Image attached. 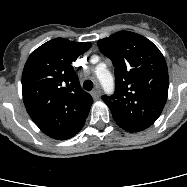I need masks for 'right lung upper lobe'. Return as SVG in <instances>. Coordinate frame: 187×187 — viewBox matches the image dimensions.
<instances>
[{
	"label": "right lung upper lobe",
	"mask_w": 187,
	"mask_h": 187,
	"mask_svg": "<svg viewBox=\"0 0 187 187\" xmlns=\"http://www.w3.org/2000/svg\"><path fill=\"white\" fill-rule=\"evenodd\" d=\"M91 47L89 42L50 40L29 56L22 74L26 110L49 137L66 140L84 126L93 103L81 87L72 62Z\"/></svg>",
	"instance_id": "cb5924a9"
}]
</instances>
